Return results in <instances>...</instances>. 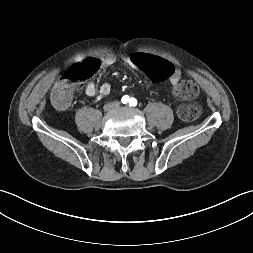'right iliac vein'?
I'll return each mask as SVG.
<instances>
[{
  "label": "right iliac vein",
  "mask_w": 253,
  "mask_h": 253,
  "mask_svg": "<svg viewBox=\"0 0 253 253\" xmlns=\"http://www.w3.org/2000/svg\"><path fill=\"white\" fill-rule=\"evenodd\" d=\"M115 108V104H107L104 109L105 111H111Z\"/></svg>",
  "instance_id": "63e3f726"
}]
</instances>
